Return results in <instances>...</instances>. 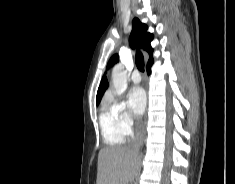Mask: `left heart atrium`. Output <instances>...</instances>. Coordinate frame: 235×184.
Instances as JSON below:
<instances>
[{"label":"left heart atrium","mask_w":235,"mask_h":184,"mask_svg":"<svg viewBox=\"0 0 235 184\" xmlns=\"http://www.w3.org/2000/svg\"><path fill=\"white\" fill-rule=\"evenodd\" d=\"M146 107V93L141 87L134 88L129 95V108L132 115L139 119Z\"/></svg>","instance_id":"1"}]
</instances>
